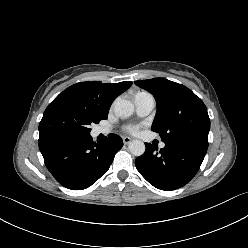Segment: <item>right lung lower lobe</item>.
Here are the masks:
<instances>
[{
	"label": "right lung lower lobe",
	"instance_id": "right-lung-lower-lobe-1",
	"mask_svg": "<svg viewBox=\"0 0 248 248\" xmlns=\"http://www.w3.org/2000/svg\"><path fill=\"white\" fill-rule=\"evenodd\" d=\"M38 143L47 169L62 186L72 190L95 183L123 146L121 137L115 134L96 143L90 134L60 132L39 134Z\"/></svg>",
	"mask_w": 248,
	"mask_h": 248
}]
</instances>
